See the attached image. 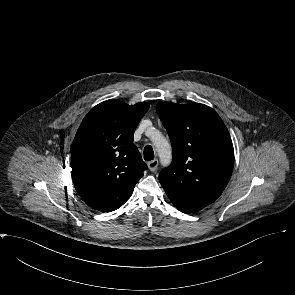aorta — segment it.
Listing matches in <instances>:
<instances>
[{"label": "aorta", "mask_w": 295, "mask_h": 295, "mask_svg": "<svg viewBox=\"0 0 295 295\" xmlns=\"http://www.w3.org/2000/svg\"><path fill=\"white\" fill-rule=\"evenodd\" d=\"M150 130L152 131L151 139L159 154L161 163L164 165L169 164V162L171 161L170 143L155 128H151Z\"/></svg>", "instance_id": "1"}]
</instances>
